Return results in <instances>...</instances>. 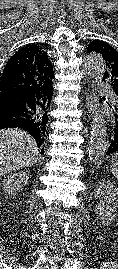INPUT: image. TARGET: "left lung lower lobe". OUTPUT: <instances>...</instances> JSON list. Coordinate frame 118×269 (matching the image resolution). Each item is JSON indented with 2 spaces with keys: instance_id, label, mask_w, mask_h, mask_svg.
<instances>
[{
  "instance_id": "0a47b994",
  "label": "left lung lower lobe",
  "mask_w": 118,
  "mask_h": 269,
  "mask_svg": "<svg viewBox=\"0 0 118 269\" xmlns=\"http://www.w3.org/2000/svg\"><path fill=\"white\" fill-rule=\"evenodd\" d=\"M113 110V115L115 118V123L113 124V129L111 131V136L109 137V144L106 151V154H111L118 151V104L110 106Z\"/></svg>"
}]
</instances>
